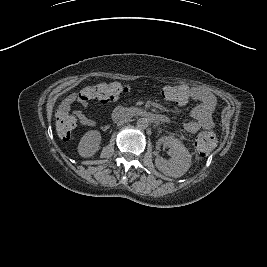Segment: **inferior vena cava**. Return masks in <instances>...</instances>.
Listing matches in <instances>:
<instances>
[{
	"label": "inferior vena cava",
	"instance_id": "obj_1",
	"mask_svg": "<svg viewBox=\"0 0 267 267\" xmlns=\"http://www.w3.org/2000/svg\"><path fill=\"white\" fill-rule=\"evenodd\" d=\"M128 121H130V119L120 120V121L118 122V125H123L124 123H127Z\"/></svg>",
	"mask_w": 267,
	"mask_h": 267
}]
</instances>
